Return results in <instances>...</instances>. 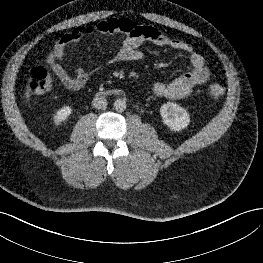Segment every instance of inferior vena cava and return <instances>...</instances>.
Instances as JSON below:
<instances>
[{
    "mask_svg": "<svg viewBox=\"0 0 263 263\" xmlns=\"http://www.w3.org/2000/svg\"><path fill=\"white\" fill-rule=\"evenodd\" d=\"M92 105L96 109H105L107 106V99L105 97H95Z\"/></svg>",
    "mask_w": 263,
    "mask_h": 263,
    "instance_id": "obj_1",
    "label": "inferior vena cava"
}]
</instances>
